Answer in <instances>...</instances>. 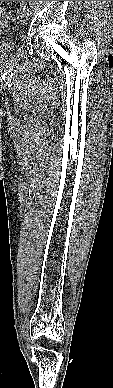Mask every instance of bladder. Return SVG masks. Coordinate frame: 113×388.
I'll return each mask as SVG.
<instances>
[{"instance_id": "31cf9c89", "label": "bladder", "mask_w": 113, "mask_h": 388, "mask_svg": "<svg viewBox=\"0 0 113 388\" xmlns=\"http://www.w3.org/2000/svg\"><path fill=\"white\" fill-rule=\"evenodd\" d=\"M0 21V26L5 25V15ZM13 44L11 42H0V60L9 57L13 52Z\"/></svg>"}]
</instances>
